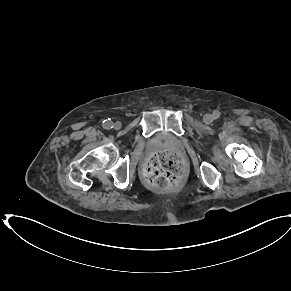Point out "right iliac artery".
Here are the masks:
<instances>
[{
  "mask_svg": "<svg viewBox=\"0 0 291 291\" xmlns=\"http://www.w3.org/2000/svg\"><path fill=\"white\" fill-rule=\"evenodd\" d=\"M103 127H104L105 129H112V128H113V122L110 121V119H108V120H104V121H103Z\"/></svg>",
  "mask_w": 291,
  "mask_h": 291,
  "instance_id": "right-iliac-artery-1",
  "label": "right iliac artery"
}]
</instances>
